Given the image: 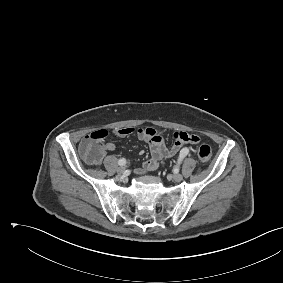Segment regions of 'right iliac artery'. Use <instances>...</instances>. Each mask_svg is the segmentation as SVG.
Segmentation results:
<instances>
[{
	"instance_id": "right-iliac-artery-1",
	"label": "right iliac artery",
	"mask_w": 283,
	"mask_h": 283,
	"mask_svg": "<svg viewBox=\"0 0 283 283\" xmlns=\"http://www.w3.org/2000/svg\"><path fill=\"white\" fill-rule=\"evenodd\" d=\"M118 164L120 166H124L126 164V159H124V158L119 159Z\"/></svg>"
}]
</instances>
